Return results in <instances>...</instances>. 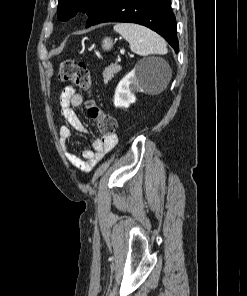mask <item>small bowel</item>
<instances>
[{
  "label": "small bowel",
  "instance_id": "obj_1",
  "mask_svg": "<svg viewBox=\"0 0 247 296\" xmlns=\"http://www.w3.org/2000/svg\"><path fill=\"white\" fill-rule=\"evenodd\" d=\"M83 104V96L73 86H66L60 94V114L69 126L59 128L60 143L64 148L65 155L70 164L81 172H89L97 165L106 153L111 151L117 144V135L102 137L92 142V148L77 155L70 145L71 128L78 132L86 133L87 128L80 120L75 108Z\"/></svg>",
  "mask_w": 247,
  "mask_h": 296
}]
</instances>
